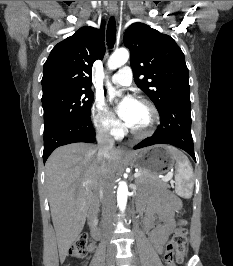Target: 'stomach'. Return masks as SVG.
Listing matches in <instances>:
<instances>
[{
    "label": "stomach",
    "mask_w": 233,
    "mask_h": 266,
    "mask_svg": "<svg viewBox=\"0 0 233 266\" xmlns=\"http://www.w3.org/2000/svg\"><path fill=\"white\" fill-rule=\"evenodd\" d=\"M171 152H174V147L157 145L133 151L125 159L142 171L165 176L177 161V156H173Z\"/></svg>",
    "instance_id": "1"
}]
</instances>
